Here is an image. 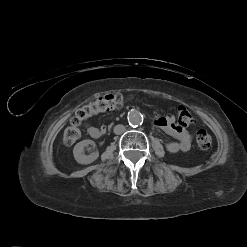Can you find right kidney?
<instances>
[{"label": "right kidney", "instance_id": "obj_1", "mask_svg": "<svg viewBox=\"0 0 247 247\" xmlns=\"http://www.w3.org/2000/svg\"><path fill=\"white\" fill-rule=\"evenodd\" d=\"M88 145H92L93 147H95V143L92 140H83L77 143L73 149L74 158L79 164H90L94 162L99 156L98 152H93L90 155H85L84 148Z\"/></svg>", "mask_w": 247, "mask_h": 247}]
</instances>
